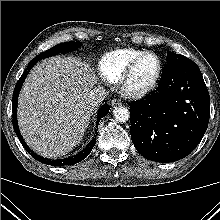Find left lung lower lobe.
Returning <instances> with one entry per match:
<instances>
[{"mask_svg":"<svg viewBox=\"0 0 220 220\" xmlns=\"http://www.w3.org/2000/svg\"><path fill=\"white\" fill-rule=\"evenodd\" d=\"M209 113V93L199 67L190 59L167 62L158 88L130 104L132 142L149 160H180L201 141Z\"/></svg>","mask_w":220,"mask_h":220,"instance_id":"0a47b994","label":"left lung lower lobe"}]
</instances>
